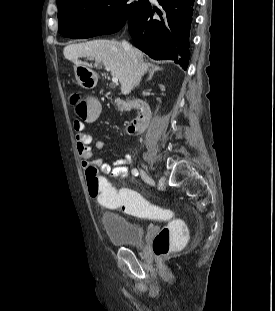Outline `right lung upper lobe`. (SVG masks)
Here are the masks:
<instances>
[{
  "label": "right lung upper lobe",
  "mask_w": 275,
  "mask_h": 311,
  "mask_svg": "<svg viewBox=\"0 0 275 311\" xmlns=\"http://www.w3.org/2000/svg\"><path fill=\"white\" fill-rule=\"evenodd\" d=\"M67 1H69V0H57V6L64 3V2H67Z\"/></svg>",
  "instance_id": "obj_1"
}]
</instances>
